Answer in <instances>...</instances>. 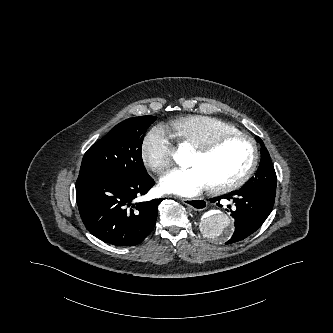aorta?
I'll return each instance as SVG.
<instances>
[{
  "label": "aorta",
  "mask_w": 333,
  "mask_h": 333,
  "mask_svg": "<svg viewBox=\"0 0 333 333\" xmlns=\"http://www.w3.org/2000/svg\"><path fill=\"white\" fill-rule=\"evenodd\" d=\"M174 160L181 167H187L189 164L187 153L182 150L175 154ZM200 227L205 236L217 241H223L233 233L234 225L228 214L222 211H211L210 214L202 219Z\"/></svg>",
  "instance_id": "aorta-1"
}]
</instances>
